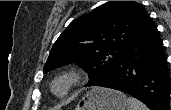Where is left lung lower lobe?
Masks as SVG:
<instances>
[{
	"label": "left lung lower lobe",
	"mask_w": 171,
	"mask_h": 110,
	"mask_svg": "<svg viewBox=\"0 0 171 110\" xmlns=\"http://www.w3.org/2000/svg\"><path fill=\"white\" fill-rule=\"evenodd\" d=\"M94 86L128 93L150 110H170V71L163 42L151 18L114 70Z\"/></svg>",
	"instance_id": "0a47b994"
}]
</instances>
